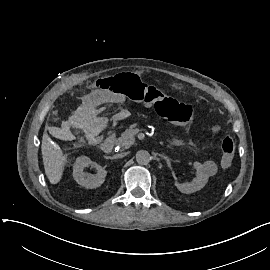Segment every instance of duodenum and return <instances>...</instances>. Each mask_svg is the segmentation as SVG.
Instances as JSON below:
<instances>
[{
    "label": "duodenum",
    "instance_id": "410a0bca",
    "mask_svg": "<svg viewBox=\"0 0 270 270\" xmlns=\"http://www.w3.org/2000/svg\"><path fill=\"white\" fill-rule=\"evenodd\" d=\"M115 145V137L111 135L107 137L101 144V150L105 153H110Z\"/></svg>",
    "mask_w": 270,
    "mask_h": 270
}]
</instances>
